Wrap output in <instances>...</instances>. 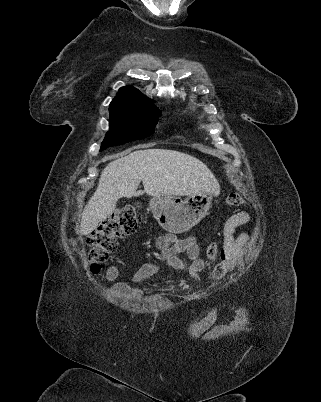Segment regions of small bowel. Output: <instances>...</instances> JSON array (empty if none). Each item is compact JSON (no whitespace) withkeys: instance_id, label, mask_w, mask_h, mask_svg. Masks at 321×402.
<instances>
[{"instance_id":"c3829d8e","label":"small bowel","mask_w":321,"mask_h":402,"mask_svg":"<svg viewBox=\"0 0 321 402\" xmlns=\"http://www.w3.org/2000/svg\"><path fill=\"white\" fill-rule=\"evenodd\" d=\"M250 221V215L246 211H239L227 218L224 224V248L221 262L210 269L208 278L212 281L225 276L239 261L243 248L249 243L250 236L247 233L236 235V230ZM156 247L159 250V260L175 270L188 273L193 279L199 280L200 274L209 267L208 262L201 255V248L193 236L178 238L173 234L159 236L156 239ZM158 271V264L155 262L146 263L134 276L133 282L139 283ZM118 269L114 265L106 269V277L109 281H115L118 277ZM132 285L115 283L111 291L113 294H120L133 290ZM238 318H245V313L239 310ZM189 333L199 335L198 340L204 345H209L207 337H218V335H230L233 329H244V320H233L230 326L223 327L220 324L215 326L214 321H192L189 323ZM207 328H213V332H207ZM233 328V329H232ZM206 334V335H205ZM212 345H217V340H212Z\"/></svg>"}]
</instances>
